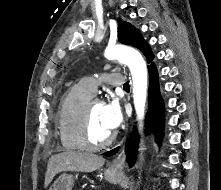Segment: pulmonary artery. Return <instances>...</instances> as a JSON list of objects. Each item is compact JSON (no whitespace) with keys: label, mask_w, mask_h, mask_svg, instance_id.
Here are the masks:
<instances>
[{"label":"pulmonary artery","mask_w":221,"mask_h":190,"mask_svg":"<svg viewBox=\"0 0 221 190\" xmlns=\"http://www.w3.org/2000/svg\"><path fill=\"white\" fill-rule=\"evenodd\" d=\"M102 81L108 85L121 87L126 83L125 77L121 73H107L103 75ZM97 78L96 77H86L81 80L80 84L82 87L92 96L95 95L97 91Z\"/></svg>","instance_id":"e3ab8cb5"}]
</instances>
